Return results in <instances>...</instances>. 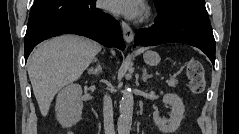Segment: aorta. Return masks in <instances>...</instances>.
<instances>
[{"mask_svg": "<svg viewBox=\"0 0 239 134\" xmlns=\"http://www.w3.org/2000/svg\"><path fill=\"white\" fill-rule=\"evenodd\" d=\"M134 98L131 89L126 86L119 106V118L117 122L118 134H129L132 126Z\"/></svg>", "mask_w": 239, "mask_h": 134, "instance_id": "obj_1", "label": "aorta"}]
</instances>
